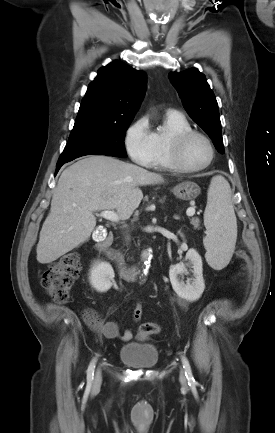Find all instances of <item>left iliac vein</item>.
<instances>
[{"label":"left iliac vein","mask_w":275,"mask_h":433,"mask_svg":"<svg viewBox=\"0 0 275 433\" xmlns=\"http://www.w3.org/2000/svg\"><path fill=\"white\" fill-rule=\"evenodd\" d=\"M180 381H181L182 383H186V377H185V374H184V370H183V369L180 370Z\"/></svg>","instance_id":"left-iliac-vein-1"}]
</instances>
